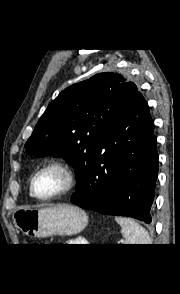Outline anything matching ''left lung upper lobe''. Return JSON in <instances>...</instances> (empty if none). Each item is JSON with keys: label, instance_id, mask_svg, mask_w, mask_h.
I'll list each match as a JSON object with an SVG mask.
<instances>
[{"label": "left lung upper lobe", "instance_id": "obj_1", "mask_svg": "<svg viewBox=\"0 0 180 294\" xmlns=\"http://www.w3.org/2000/svg\"><path fill=\"white\" fill-rule=\"evenodd\" d=\"M138 93L133 82L114 72L66 88L39 119L25 144L26 152L65 158L75 168L78 190L96 150Z\"/></svg>", "mask_w": 180, "mask_h": 294}]
</instances>
